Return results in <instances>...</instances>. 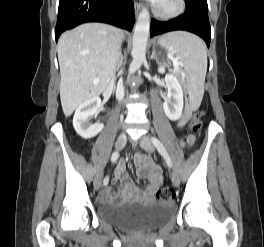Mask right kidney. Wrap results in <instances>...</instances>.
<instances>
[{"label": "right kidney", "instance_id": "obj_1", "mask_svg": "<svg viewBox=\"0 0 264 247\" xmlns=\"http://www.w3.org/2000/svg\"><path fill=\"white\" fill-rule=\"evenodd\" d=\"M101 107V100L98 97L91 98L81 103L75 111L73 126L78 135L84 139H89L100 133L103 124L90 123V119L95 116Z\"/></svg>", "mask_w": 264, "mask_h": 247}]
</instances>
